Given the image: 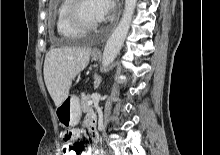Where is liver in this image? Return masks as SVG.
<instances>
[{"label":"liver","mask_w":220,"mask_h":155,"mask_svg":"<svg viewBox=\"0 0 220 155\" xmlns=\"http://www.w3.org/2000/svg\"><path fill=\"white\" fill-rule=\"evenodd\" d=\"M90 49L61 47L51 49L44 61V81L56 107L68 96L72 80L89 63Z\"/></svg>","instance_id":"liver-1"}]
</instances>
